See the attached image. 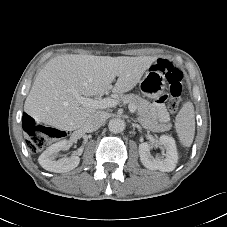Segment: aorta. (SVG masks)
<instances>
[{"label": "aorta", "mask_w": 227, "mask_h": 227, "mask_svg": "<svg viewBox=\"0 0 227 227\" xmlns=\"http://www.w3.org/2000/svg\"><path fill=\"white\" fill-rule=\"evenodd\" d=\"M125 121L119 118H114L109 121L108 128L112 133H120L125 129Z\"/></svg>", "instance_id": "1"}]
</instances>
